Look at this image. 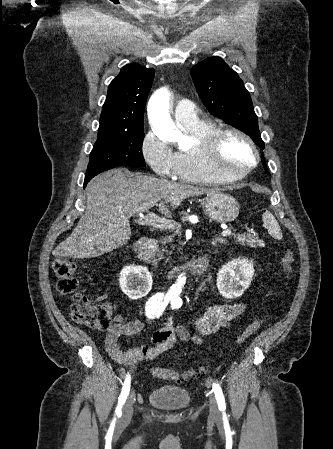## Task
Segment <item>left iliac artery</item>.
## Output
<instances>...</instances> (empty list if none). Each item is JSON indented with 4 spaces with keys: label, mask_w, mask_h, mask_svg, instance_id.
Masks as SVG:
<instances>
[{
    "label": "left iliac artery",
    "mask_w": 333,
    "mask_h": 449,
    "mask_svg": "<svg viewBox=\"0 0 333 449\" xmlns=\"http://www.w3.org/2000/svg\"><path fill=\"white\" fill-rule=\"evenodd\" d=\"M171 306L173 309L178 308L180 306V303H177L175 299H172ZM213 391H214V394H215V397H216V400L218 403L219 410L223 414H225V410H226L225 399H224L222 389L218 383H213Z\"/></svg>",
    "instance_id": "left-iliac-artery-1"
}]
</instances>
